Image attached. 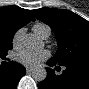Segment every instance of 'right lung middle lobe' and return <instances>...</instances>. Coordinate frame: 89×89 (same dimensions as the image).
<instances>
[{
  "instance_id": "obj_1",
  "label": "right lung middle lobe",
  "mask_w": 89,
  "mask_h": 89,
  "mask_svg": "<svg viewBox=\"0 0 89 89\" xmlns=\"http://www.w3.org/2000/svg\"><path fill=\"white\" fill-rule=\"evenodd\" d=\"M13 36L0 33V55L7 54V51L12 49Z\"/></svg>"
}]
</instances>
